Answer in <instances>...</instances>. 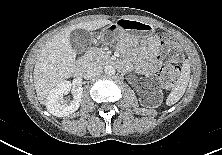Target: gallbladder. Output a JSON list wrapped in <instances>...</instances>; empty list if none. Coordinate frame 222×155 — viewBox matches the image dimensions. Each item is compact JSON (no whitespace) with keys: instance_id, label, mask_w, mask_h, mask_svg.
<instances>
[{"instance_id":"gallbladder-1","label":"gallbladder","mask_w":222,"mask_h":155,"mask_svg":"<svg viewBox=\"0 0 222 155\" xmlns=\"http://www.w3.org/2000/svg\"><path fill=\"white\" fill-rule=\"evenodd\" d=\"M70 43L76 52L83 53L90 48L92 37L88 31L76 29L70 35Z\"/></svg>"}]
</instances>
